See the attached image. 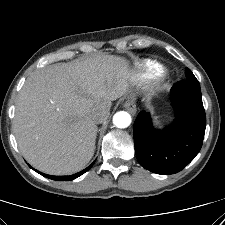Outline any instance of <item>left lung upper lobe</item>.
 I'll return each instance as SVG.
<instances>
[{"instance_id": "obj_1", "label": "left lung upper lobe", "mask_w": 225, "mask_h": 225, "mask_svg": "<svg viewBox=\"0 0 225 225\" xmlns=\"http://www.w3.org/2000/svg\"><path fill=\"white\" fill-rule=\"evenodd\" d=\"M186 78H187L188 80H192V81L198 82V80H197L196 77L193 75V73H192L189 69H187V68H186Z\"/></svg>"}]
</instances>
